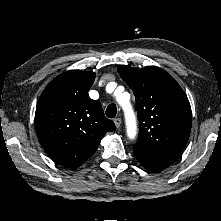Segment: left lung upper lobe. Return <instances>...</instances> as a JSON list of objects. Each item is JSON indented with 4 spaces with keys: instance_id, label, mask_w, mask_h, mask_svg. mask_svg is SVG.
Segmentation results:
<instances>
[{
    "instance_id": "left-lung-upper-lobe-1",
    "label": "left lung upper lobe",
    "mask_w": 221,
    "mask_h": 221,
    "mask_svg": "<svg viewBox=\"0 0 221 221\" xmlns=\"http://www.w3.org/2000/svg\"><path fill=\"white\" fill-rule=\"evenodd\" d=\"M117 70L135 95L140 131L133 149L175 162L191 130V107L185 93L160 68L123 65Z\"/></svg>"
}]
</instances>
